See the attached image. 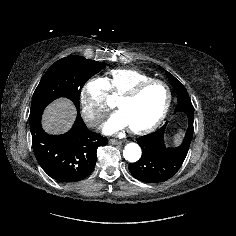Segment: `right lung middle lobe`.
Segmentation results:
<instances>
[{"label":"right lung middle lobe","instance_id":"obj_1","mask_svg":"<svg viewBox=\"0 0 236 236\" xmlns=\"http://www.w3.org/2000/svg\"><path fill=\"white\" fill-rule=\"evenodd\" d=\"M104 67V63L75 55L56 61L43 75L33 94L30 114L43 112L59 97L70 99L80 113L79 99L84 83Z\"/></svg>","mask_w":236,"mask_h":236}]
</instances>
